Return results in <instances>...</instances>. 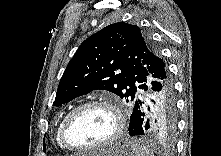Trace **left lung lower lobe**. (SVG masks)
Segmentation results:
<instances>
[{"label":"left lung lower lobe","instance_id":"left-lung-lower-lobe-1","mask_svg":"<svg viewBox=\"0 0 221 156\" xmlns=\"http://www.w3.org/2000/svg\"><path fill=\"white\" fill-rule=\"evenodd\" d=\"M146 90L134 103L129 135L172 137L176 129V98L168 69L153 72Z\"/></svg>","mask_w":221,"mask_h":156}]
</instances>
